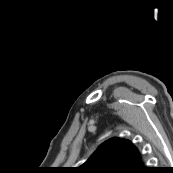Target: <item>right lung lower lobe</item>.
I'll return each mask as SVG.
<instances>
[{
	"instance_id": "obj_1",
	"label": "right lung lower lobe",
	"mask_w": 173,
	"mask_h": 173,
	"mask_svg": "<svg viewBox=\"0 0 173 173\" xmlns=\"http://www.w3.org/2000/svg\"><path fill=\"white\" fill-rule=\"evenodd\" d=\"M151 170L148 167H145L142 162L138 163L127 173H150Z\"/></svg>"
}]
</instances>
